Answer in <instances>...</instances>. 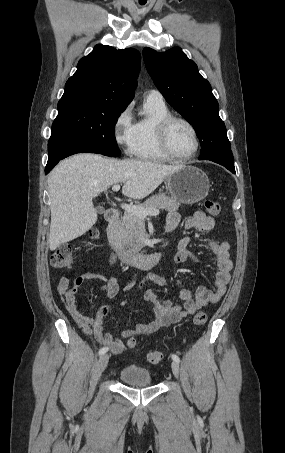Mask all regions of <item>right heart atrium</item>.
Masks as SVG:
<instances>
[{
	"label": "right heart atrium",
	"instance_id": "right-heart-atrium-1",
	"mask_svg": "<svg viewBox=\"0 0 285 453\" xmlns=\"http://www.w3.org/2000/svg\"><path fill=\"white\" fill-rule=\"evenodd\" d=\"M133 118L131 107L124 108L116 117L113 124L115 142L126 152L130 151L132 140Z\"/></svg>",
	"mask_w": 285,
	"mask_h": 453
}]
</instances>
